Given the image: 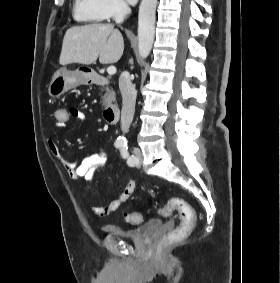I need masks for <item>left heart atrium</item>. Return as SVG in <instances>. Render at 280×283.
I'll list each match as a JSON object with an SVG mask.
<instances>
[{"label": "left heart atrium", "mask_w": 280, "mask_h": 283, "mask_svg": "<svg viewBox=\"0 0 280 283\" xmlns=\"http://www.w3.org/2000/svg\"><path fill=\"white\" fill-rule=\"evenodd\" d=\"M138 0H127V2L131 5H134L137 3Z\"/></svg>", "instance_id": "1"}]
</instances>
